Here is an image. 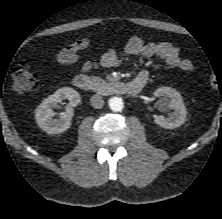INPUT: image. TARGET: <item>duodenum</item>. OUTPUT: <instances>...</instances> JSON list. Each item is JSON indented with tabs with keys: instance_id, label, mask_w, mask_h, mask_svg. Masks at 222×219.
<instances>
[{
	"instance_id": "duodenum-1",
	"label": "duodenum",
	"mask_w": 222,
	"mask_h": 219,
	"mask_svg": "<svg viewBox=\"0 0 222 219\" xmlns=\"http://www.w3.org/2000/svg\"><path fill=\"white\" fill-rule=\"evenodd\" d=\"M73 83L76 88L82 91H92L95 87H97L93 80L85 74L75 76ZM98 86L100 87V90L107 93H126L130 95H137L143 87V85L135 82L125 83L122 81L107 82Z\"/></svg>"
}]
</instances>
